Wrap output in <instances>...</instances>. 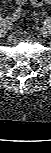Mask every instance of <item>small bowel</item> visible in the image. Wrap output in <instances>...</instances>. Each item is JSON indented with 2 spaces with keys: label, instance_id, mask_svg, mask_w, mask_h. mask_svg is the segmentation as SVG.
I'll return each mask as SVG.
<instances>
[{
  "label": "small bowel",
  "instance_id": "c3829d8e",
  "mask_svg": "<svg viewBox=\"0 0 51 153\" xmlns=\"http://www.w3.org/2000/svg\"><path fill=\"white\" fill-rule=\"evenodd\" d=\"M28 0H15L16 3V7L15 9L12 11L11 15L9 16V20L11 21H15L17 20L20 15H21V10L22 7L24 6V4L27 2ZM29 2L34 6V7H41L44 4H48L51 2V0H29Z\"/></svg>",
  "mask_w": 51,
  "mask_h": 153
}]
</instances>
